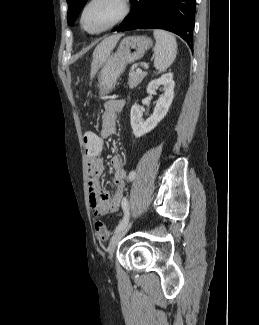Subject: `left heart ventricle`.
<instances>
[{"instance_id":"b2bd125f","label":"left heart ventricle","mask_w":259,"mask_h":325,"mask_svg":"<svg viewBox=\"0 0 259 325\" xmlns=\"http://www.w3.org/2000/svg\"><path fill=\"white\" fill-rule=\"evenodd\" d=\"M119 0H95L86 10L84 24L89 30H98L114 21L121 13Z\"/></svg>"}]
</instances>
